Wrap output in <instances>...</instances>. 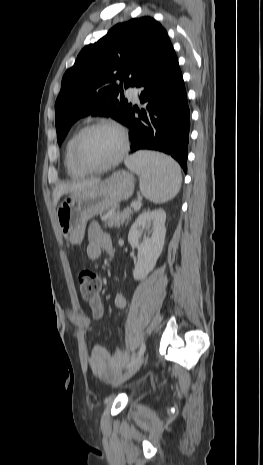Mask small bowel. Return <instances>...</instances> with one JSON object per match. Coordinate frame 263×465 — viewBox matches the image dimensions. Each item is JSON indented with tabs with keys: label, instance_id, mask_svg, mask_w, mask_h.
<instances>
[{
	"label": "small bowel",
	"instance_id": "small-bowel-1",
	"mask_svg": "<svg viewBox=\"0 0 263 465\" xmlns=\"http://www.w3.org/2000/svg\"><path fill=\"white\" fill-rule=\"evenodd\" d=\"M112 238L109 233L103 230L98 223H91L88 229L87 256L90 260H97L103 252L111 253ZM127 305L126 298L122 294H117L114 298V306L123 310ZM91 318L84 319L86 324L90 321H99L104 314V308L100 297H95L89 301ZM128 356L120 348H115L109 352L102 346H95L92 349L89 365L92 372L105 381L113 380L126 363Z\"/></svg>",
	"mask_w": 263,
	"mask_h": 465
}]
</instances>
